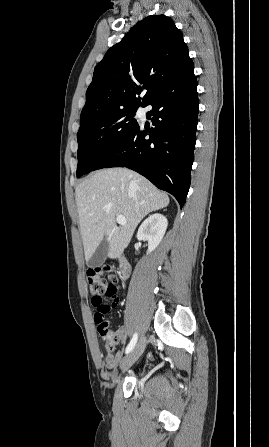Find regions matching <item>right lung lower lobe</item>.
Segmentation results:
<instances>
[{
  "label": "right lung lower lobe",
  "instance_id": "obj_1",
  "mask_svg": "<svg viewBox=\"0 0 269 447\" xmlns=\"http://www.w3.org/2000/svg\"><path fill=\"white\" fill-rule=\"evenodd\" d=\"M193 70L191 61L175 79L147 98L143 105L152 106L147 118L155 127L147 130L138 127L94 170L130 168L171 193L182 208L190 186L198 122L199 100Z\"/></svg>",
  "mask_w": 269,
  "mask_h": 447
}]
</instances>
